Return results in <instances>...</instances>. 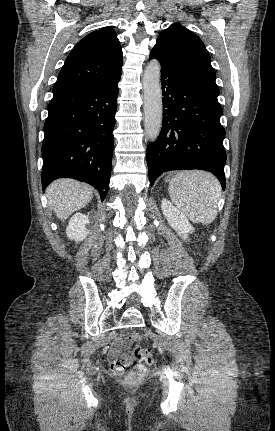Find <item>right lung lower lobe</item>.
Segmentation results:
<instances>
[{"mask_svg": "<svg viewBox=\"0 0 275 431\" xmlns=\"http://www.w3.org/2000/svg\"><path fill=\"white\" fill-rule=\"evenodd\" d=\"M54 94L42 145L43 190L55 179L74 178L95 187L103 201L109 187L118 82Z\"/></svg>", "mask_w": 275, "mask_h": 431, "instance_id": "1", "label": "right lung lower lobe"}]
</instances>
